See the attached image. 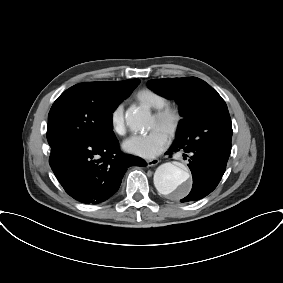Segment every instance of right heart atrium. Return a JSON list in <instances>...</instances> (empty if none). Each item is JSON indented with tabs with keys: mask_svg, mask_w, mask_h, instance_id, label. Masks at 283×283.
I'll use <instances>...</instances> for the list:
<instances>
[{
	"mask_svg": "<svg viewBox=\"0 0 283 283\" xmlns=\"http://www.w3.org/2000/svg\"><path fill=\"white\" fill-rule=\"evenodd\" d=\"M110 123L112 130L123 135L126 131L124 105L122 103L116 105L110 114Z\"/></svg>",
	"mask_w": 283,
	"mask_h": 283,
	"instance_id": "d8ad5b80",
	"label": "right heart atrium"
}]
</instances>
